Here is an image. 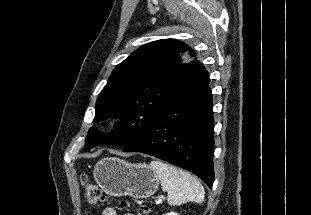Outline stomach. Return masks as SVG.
I'll use <instances>...</instances> for the list:
<instances>
[{
  "label": "stomach",
  "instance_id": "1",
  "mask_svg": "<svg viewBox=\"0 0 311 215\" xmlns=\"http://www.w3.org/2000/svg\"><path fill=\"white\" fill-rule=\"evenodd\" d=\"M94 177L102 190L114 197L148 198L159 185L158 176L149 165L131 164L114 157L100 160L95 167Z\"/></svg>",
  "mask_w": 311,
  "mask_h": 215
}]
</instances>
